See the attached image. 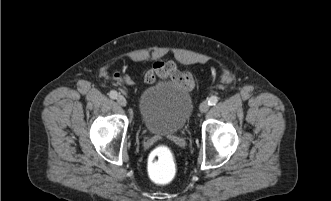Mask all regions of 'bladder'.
I'll list each match as a JSON object with an SVG mask.
<instances>
[{"instance_id": "bladder-1", "label": "bladder", "mask_w": 331, "mask_h": 201, "mask_svg": "<svg viewBox=\"0 0 331 201\" xmlns=\"http://www.w3.org/2000/svg\"><path fill=\"white\" fill-rule=\"evenodd\" d=\"M138 110L147 131L165 137L175 135L183 129L192 113L191 90L159 81L142 92Z\"/></svg>"}]
</instances>
